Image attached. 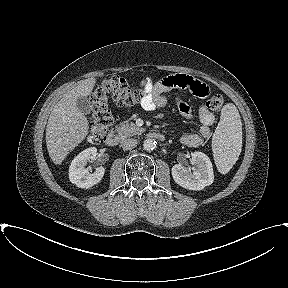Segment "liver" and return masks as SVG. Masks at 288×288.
Returning <instances> with one entry per match:
<instances>
[{"instance_id":"liver-1","label":"liver","mask_w":288,"mask_h":288,"mask_svg":"<svg viewBox=\"0 0 288 288\" xmlns=\"http://www.w3.org/2000/svg\"><path fill=\"white\" fill-rule=\"evenodd\" d=\"M95 78L79 81L54 106L46 126V146L52 161L60 165L88 134V120L76 106L79 97L91 94Z\"/></svg>"}]
</instances>
